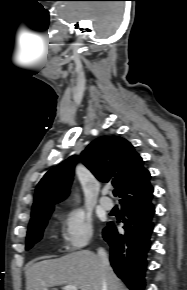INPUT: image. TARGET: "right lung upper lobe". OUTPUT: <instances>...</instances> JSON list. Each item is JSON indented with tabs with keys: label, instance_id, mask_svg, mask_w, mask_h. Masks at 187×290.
<instances>
[{
	"label": "right lung upper lobe",
	"instance_id": "1",
	"mask_svg": "<svg viewBox=\"0 0 187 290\" xmlns=\"http://www.w3.org/2000/svg\"><path fill=\"white\" fill-rule=\"evenodd\" d=\"M85 166L102 182H111L121 197L120 204L141 202L152 196L150 173L130 142L119 136L94 140L81 154ZM77 156H71L48 171L38 183L31 221L53 211V204L69 193Z\"/></svg>",
	"mask_w": 187,
	"mask_h": 290
}]
</instances>
